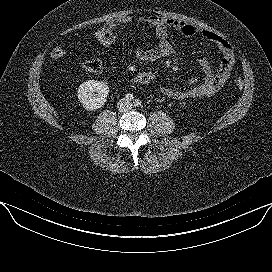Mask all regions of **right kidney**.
<instances>
[{"label":"right kidney","instance_id":"1","mask_svg":"<svg viewBox=\"0 0 272 272\" xmlns=\"http://www.w3.org/2000/svg\"><path fill=\"white\" fill-rule=\"evenodd\" d=\"M78 99L87 111L100 109L106 102L109 88L101 81L89 80L78 89Z\"/></svg>","mask_w":272,"mask_h":272}]
</instances>
